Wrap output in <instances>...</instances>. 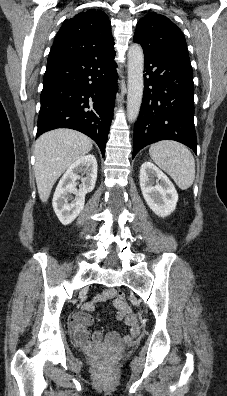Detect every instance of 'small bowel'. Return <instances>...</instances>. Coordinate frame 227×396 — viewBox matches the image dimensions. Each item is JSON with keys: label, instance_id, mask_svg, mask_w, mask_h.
<instances>
[{"label": "small bowel", "instance_id": "small-bowel-1", "mask_svg": "<svg viewBox=\"0 0 227 396\" xmlns=\"http://www.w3.org/2000/svg\"><path fill=\"white\" fill-rule=\"evenodd\" d=\"M117 294L118 292L113 288L105 289L92 301L84 304L82 312L71 317L70 324L74 329V339L77 343L90 349H96L102 345V333L95 331L90 338L88 326L92 323V317L90 313L94 310L95 304L106 300L114 301V306L118 310L117 318L124 321V324L128 328V333L121 336L117 332H110L106 336L105 342L110 345H115L121 340L129 342L140 334V327L137 324L133 312L125 303L124 299L121 300L117 297Z\"/></svg>", "mask_w": 227, "mask_h": 396}]
</instances>
